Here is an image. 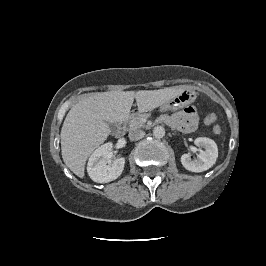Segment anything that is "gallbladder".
<instances>
[{
    "mask_svg": "<svg viewBox=\"0 0 266 266\" xmlns=\"http://www.w3.org/2000/svg\"><path fill=\"white\" fill-rule=\"evenodd\" d=\"M109 127H110L111 130H116L117 129V126L114 123H109Z\"/></svg>",
    "mask_w": 266,
    "mask_h": 266,
    "instance_id": "1",
    "label": "gallbladder"
}]
</instances>
